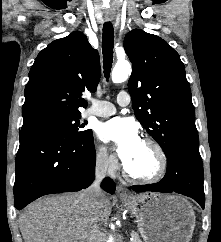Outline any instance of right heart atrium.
Returning a JSON list of instances; mask_svg holds the SVG:
<instances>
[{
    "mask_svg": "<svg viewBox=\"0 0 221 242\" xmlns=\"http://www.w3.org/2000/svg\"><path fill=\"white\" fill-rule=\"evenodd\" d=\"M94 161L96 168L107 173H114L118 168V160L110 155L105 148L96 147L94 150Z\"/></svg>",
    "mask_w": 221,
    "mask_h": 242,
    "instance_id": "d8ad5b80",
    "label": "right heart atrium"
}]
</instances>
